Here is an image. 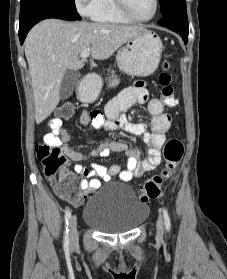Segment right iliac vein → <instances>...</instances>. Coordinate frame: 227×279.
Returning a JSON list of instances; mask_svg holds the SVG:
<instances>
[{
  "mask_svg": "<svg viewBox=\"0 0 227 279\" xmlns=\"http://www.w3.org/2000/svg\"><path fill=\"white\" fill-rule=\"evenodd\" d=\"M70 241L75 244L78 240L77 217L73 215L69 220Z\"/></svg>",
  "mask_w": 227,
  "mask_h": 279,
  "instance_id": "1",
  "label": "right iliac vein"
}]
</instances>
